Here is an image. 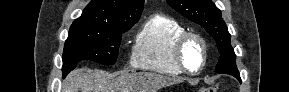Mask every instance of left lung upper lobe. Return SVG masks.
<instances>
[{
	"mask_svg": "<svg viewBox=\"0 0 289 92\" xmlns=\"http://www.w3.org/2000/svg\"><path fill=\"white\" fill-rule=\"evenodd\" d=\"M177 12L194 23L202 26L214 37L220 52L217 73L239 75L236 67V55L230 44L231 35L222 19L221 11L211 0H166Z\"/></svg>",
	"mask_w": 289,
	"mask_h": 92,
	"instance_id": "obj_1",
	"label": "left lung upper lobe"
}]
</instances>
